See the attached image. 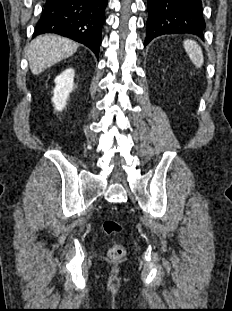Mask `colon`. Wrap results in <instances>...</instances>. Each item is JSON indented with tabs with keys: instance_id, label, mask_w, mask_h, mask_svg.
<instances>
[{
	"instance_id": "colon-1",
	"label": "colon",
	"mask_w": 232,
	"mask_h": 311,
	"mask_svg": "<svg viewBox=\"0 0 232 311\" xmlns=\"http://www.w3.org/2000/svg\"><path fill=\"white\" fill-rule=\"evenodd\" d=\"M103 231L109 236H114L122 231L121 224L114 219H106L102 224ZM125 255V248L120 244L112 245L108 250V256L113 259H121Z\"/></svg>"
}]
</instances>
